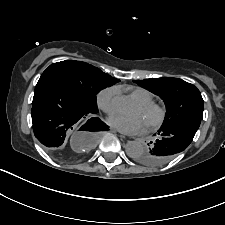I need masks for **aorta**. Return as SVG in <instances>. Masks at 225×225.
<instances>
[{
  "instance_id": "aorta-1",
  "label": "aorta",
  "mask_w": 225,
  "mask_h": 225,
  "mask_svg": "<svg viewBox=\"0 0 225 225\" xmlns=\"http://www.w3.org/2000/svg\"><path fill=\"white\" fill-rule=\"evenodd\" d=\"M129 104V99L126 96L119 95L115 99V105L119 110L127 109ZM125 151L129 157L136 158L145 151V147L139 141H129L125 146Z\"/></svg>"
}]
</instances>
